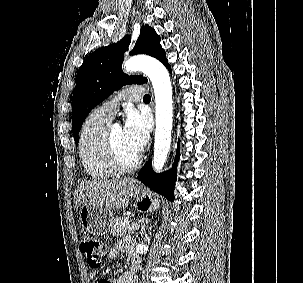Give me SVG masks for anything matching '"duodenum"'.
I'll return each instance as SVG.
<instances>
[{
    "label": "duodenum",
    "mask_w": 303,
    "mask_h": 283,
    "mask_svg": "<svg viewBox=\"0 0 303 283\" xmlns=\"http://www.w3.org/2000/svg\"><path fill=\"white\" fill-rule=\"evenodd\" d=\"M139 270V259L131 261L130 272L129 274L132 277L131 283H137L136 274Z\"/></svg>",
    "instance_id": "1"
}]
</instances>
